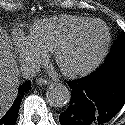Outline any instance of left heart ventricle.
<instances>
[{
  "mask_svg": "<svg viewBox=\"0 0 125 125\" xmlns=\"http://www.w3.org/2000/svg\"><path fill=\"white\" fill-rule=\"evenodd\" d=\"M104 36L100 25H93L84 30L63 52L61 58L63 66L67 69H75L91 61L99 53Z\"/></svg>",
  "mask_w": 125,
  "mask_h": 125,
  "instance_id": "left-heart-ventricle-1",
  "label": "left heart ventricle"
}]
</instances>
